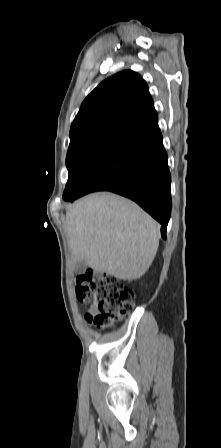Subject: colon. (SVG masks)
<instances>
[{"label":"colon","mask_w":221,"mask_h":448,"mask_svg":"<svg viewBox=\"0 0 221 448\" xmlns=\"http://www.w3.org/2000/svg\"><path fill=\"white\" fill-rule=\"evenodd\" d=\"M75 294L82 305L93 307L86 319L97 327H109L119 320L134 304L130 285L110 274L87 270L75 278Z\"/></svg>","instance_id":"obj_1"}]
</instances>
